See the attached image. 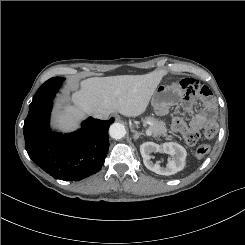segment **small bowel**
I'll list each match as a JSON object with an SVG mask.
<instances>
[{
	"instance_id": "small-bowel-1",
	"label": "small bowel",
	"mask_w": 245,
	"mask_h": 245,
	"mask_svg": "<svg viewBox=\"0 0 245 245\" xmlns=\"http://www.w3.org/2000/svg\"><path fill=\"white\" fill-rule=\"evenodd\" d=\"M177 87L180 90H185V93L188 96H195L196 94L199 95V98L202 101H209L212 98V91L206 87L205 85H203L202 83L194 80V79H190L187 77H180L177 80ZM215 115L214 110L210 107L206 108L203 112L197 113L192 121H191V127L194 130H198L200 128H202V126L204 125V123L209 119V118H213Z\"/></svg>"
}]
</instances>
